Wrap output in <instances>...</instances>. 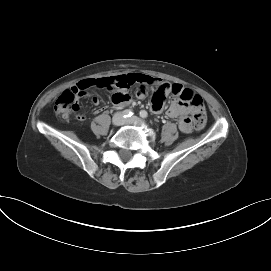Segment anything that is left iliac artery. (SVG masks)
I'll use <instances>...</instances> for the list:
<instances>
[{"mask_svg":"<svg viewBox=\"0 0 271 271\" xmlns=\"http://www.w3.org/2000/svg\"><path fill=\"white\" fill-rule=\"evenodd\" d=\"M140 117L142 118H147L148 117V113L147 111L145 110H141L140 113H139Z\"/></svg>","mask_w":271,"mask_h":271,"instance_id":"left-iliac-artery-1","label":"left iliac artery"}]
</instances>
